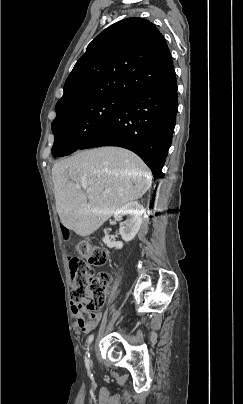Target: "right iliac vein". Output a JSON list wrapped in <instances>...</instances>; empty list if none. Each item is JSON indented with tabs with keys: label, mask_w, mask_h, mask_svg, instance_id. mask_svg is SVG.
<instances>
[{
	"label": "right iliac vein",
	"mask_w": 243,
	"mask_h": 404,
	"mask_svg": "<svg viewBox=\"0 0 243 404\" xmlns=\"http://www.w3.org/2000/svg\"><path fill=\"white\" fill-rule=\"evenodd\" d=\"M90 350L92 351V346L90 347Z\"/></svg>",
	"instance_id": "1"
}]
</instances>
